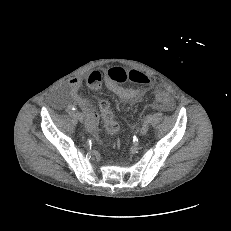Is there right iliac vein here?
I'll use <instances>...</instances> for the list:
<instances>
[{"label":"right iliac vein","instance_id":"obj_1","mask_svg":"<svg viewBox=\"0 0 231 231\" xmlns=\"http://www.w3.org/2000/svg\"><path fill=\"white\" fill-rule=\"evenodd\" d=\"M75 115H76L77 119H78L81 123L84 122V116H83L82 113L76 112Z\"/></svg>","mask_w":231,"mask_h":231}]
</instances>
